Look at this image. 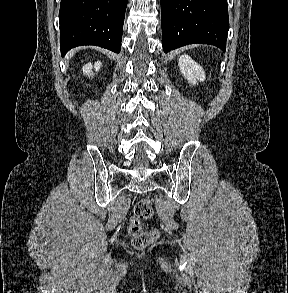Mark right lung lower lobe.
<instances>
[{"label":"right lung lower lobe","mask_w":288,"mask_h":293,"mask_svg":"<svg viewBox=\"0 0 288 293\" xmlns=\"http://www.w3.org/2000/svg\"><path fill=\"white\" fill-rule=\"evenodd\" d=\"M128 0H61L59 11L62 55L81 45L121 51Z\"/></svg>","instance_id":"right-lung-lower-lobe-1"}]
</instances>
